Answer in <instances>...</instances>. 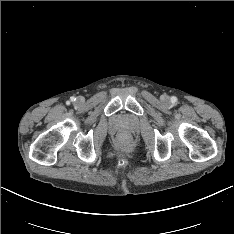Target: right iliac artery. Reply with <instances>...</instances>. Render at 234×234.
<instances>
[{
  "label": "right iliac artery",
  "mask_w": 234,
  "mask_h": 234,
  "mask_svg": "<svg viewBox=\"0 0 234 234\" xmlns=\"http://www.w3.org/2000/svg\"><path fill=\"white\" fill-rule=\"evenodd\" d=\"M75 100V98L74 97H71V101H74Z\"/></svg>",
  "instance_id": "1"
}]
</instances>
